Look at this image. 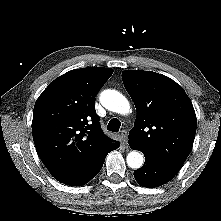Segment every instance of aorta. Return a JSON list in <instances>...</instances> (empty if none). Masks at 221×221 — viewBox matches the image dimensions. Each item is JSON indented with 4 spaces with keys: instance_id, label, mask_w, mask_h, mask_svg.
Masks as SVG:
<instances>
[{
    "instance_id": "762f6f07",
    "label": "aorta",
    "mask_w": 221,
    "mask_h": 221,
    "mask_svg": "<svg viewBox=\"0 0 221 221\" xmlns=\"http://www.w3.org/2000/svg\"><path fill=\"white\" fill-rule=\"evenodd\" d=\"M101 104L108 110L122 115L130 112L129 101L120 92L116 90H104L100 94ZM127 164L130 168L139 169L144 162V156L139 151H131L127 155Z\"/></svg>"
}]
</instances>
